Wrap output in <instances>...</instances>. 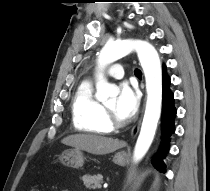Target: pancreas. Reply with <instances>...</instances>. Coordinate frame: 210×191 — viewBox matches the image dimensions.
<instances>
[{
  "label": "pancreas",
  "instance_id": "cf45deb5",
  "mask_svg": "<svg viewBox=\"0 0 210 191\" xmlns=\"http://www.w3.org/2000/svg\"><path fill=\"white\" fill-rule=\"evenodd\" d=\"M82 181L86 188L95 190L101 188L103 177L102 175H84Z\"/></svg>",
  "mask_w": 210,
  "mask_h": 191
}]
</instances>
